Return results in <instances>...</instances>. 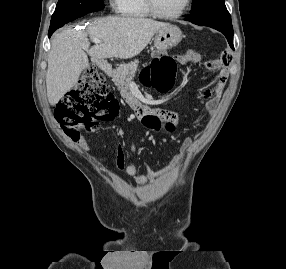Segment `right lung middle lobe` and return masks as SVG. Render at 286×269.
<instances>
[{
	"label": "right lung middle lobe",
	"mask_w": 286,
	"mask_h": 269,
	"mask_svg": "<svg viewBox=\"0 0 286 269\" xmlns=\"http://www.w3.org/2000/svg\"><path fill=\"white\" fill-rule=\"evenodd\" d=\"M103 8V0H59L52 15L49 30H57L76 18Z\"/></svg>",
	"instance_id": "1"
}]
</instances>
